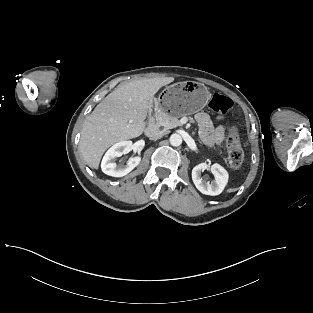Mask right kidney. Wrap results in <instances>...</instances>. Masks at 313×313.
Here are the masks:
<instances>
[{
	"label": "right kidney",
	"mask_w": 313,
	"mask_h": 313,
	"mask_svg": "<svg viewBox=\"0 0 313 313\" xmlns=\"http://www.w3.org/2000/svg\"><path fill=\"white\" fill-rule=\"evenodd\" d=\"M132 146L131 141H120L114 144L104 155L101 162L102 171L113 177H123L131 172L141 161V157L136 156L130 158L126 165H117L114 162L116 157L126 154Z\"/></svg>",
	"instance_id": "right-kidney-1"
}]
</instances>
